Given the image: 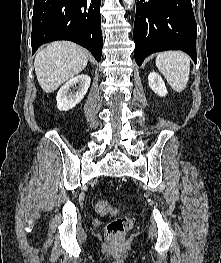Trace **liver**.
I'll use <instances>...</instances> for the list:
<instances>
[{
  "label": "liver",
  "mask_w": 221,
  "mask_h": 263,
  "mask_svg": "<svg viewBox=\"0 0 221 263\" xmlns=\"http://www.w3.org/2000/svg\"><path fill=\"white\" fill-rule=\"evenodd\" d=\"M87 63L81 47L69 41H56L37 52L34 67L42 90L51 93L79 74Z\"/></svg>",
  "instance_id": "6515ba94"
}]
</instances>
